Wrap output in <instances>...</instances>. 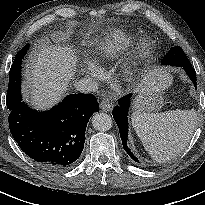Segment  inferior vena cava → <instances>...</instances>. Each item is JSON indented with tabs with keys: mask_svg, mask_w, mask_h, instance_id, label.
<instances>
[{
	"mask_svg": "<svg viewBox=\"0 0 205 205\" xmlns=\"http://www.w3.org/2000/svg\"><path fill=\"white\" fill-rule=\"evenodd\" d=\"M75 88L82 93H91L98 89V85L91 78H83L75 83Z\"/></svg>",
	"mask_w": 205,
	"mask_h": 205,
	"instance_id": "1",
	"label": "inferior vena cava"
}]
</instances>
